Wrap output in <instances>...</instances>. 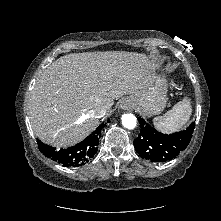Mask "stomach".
<instances>
[{
    "mask_svg": "<svg viewBox=\"0 0 221 221\" xmlns=\"http://www.w3.org/2000/svg\"><path fill=\"white\" fill-rule=\"evenodd\" d=\"M166 93L165 79L156 77L146 90L134 97L136 106L146 116L160 114L166 106Z\"/></svg>",
    "mask_w": 221,
    "mask_h": 221,
    "instance_id": "stomach-1",
    "label": "stomach"
}]
</instances>
